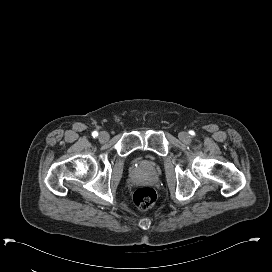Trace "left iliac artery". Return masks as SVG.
Returning a JSON list of instances; mask_svg holds the SVG:
<instances>
[{
  "mask_svg": "<svg viewBox=\"0 0 272 272\" xmlns=\"http://www.w3.org/2000/svg\"><path fill=\"white\" fill-rule=\"evenodd\" d=\"M189 133H190V135H192V136L195 135L194 131H192V130L189 131Z\"/></svg>",
  "mask_w": 272,
  "mask_h": 272,
  "instance_id": "obj_1",
  "label": "left iliac artery"
}]
</instances>
